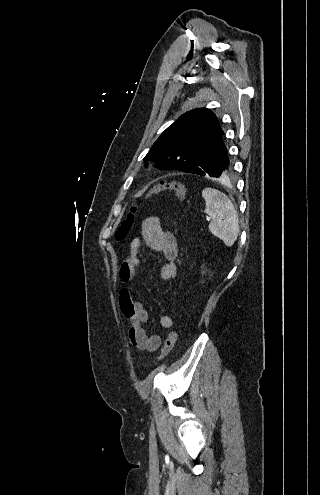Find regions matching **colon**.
Returning a JSON list of instances; mask_svg holds the SVG:
<instances>
[{
	"mask_svg": "<svg viewBox=\"0 0 320 495\" xmlns=\"http://www.w3.org/2000/svg\"><path fill=\"white\" fill-rule=\"evenodd\" d=\"M162 191H168L172 194H174L176 197H178L180 200H183L186 196V188L182 184L176 181H162L160 182L154 189L152 190L151 194L159 193ZM137 210V206L132 207V211L135 212ZM133 219L132 217H129L127 220H125L121 226L118 228L116 231L115 237L118 241L124 240L132 226ZM178 338V332L176 328L171 329L164 341V345L162 347L161 353L158 357V360L161 361L164 358H166L170 352L172 351L176 341Z\"/></svg>",
	"mask_w": 320,
	"mask_h": 495,
	"instance_id": "colon-1",
	"label": "colon"
}]
</instances>
